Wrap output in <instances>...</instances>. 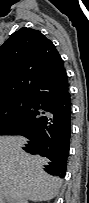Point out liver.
I'll list each match as a JSON object with an SVG mask.
<instances>
[{
    "label": "liver",
    "instance_id": "1",
    "mask_svg": "<svg viewBox=\"0 0 89 203\" xmlns=\"http://www.w3.org/2000/svg\"><path fill=\"white\" fill-rule=\"evenodd\" d=\"M23 139L2 137L0 141V180L3 196L10 202L18 199H47L53 196L57 180L38 171L44 160L22 152Z\"/></svg>",
    "mask_w": 89,
    "mask_h": 203
}]
</instances>
